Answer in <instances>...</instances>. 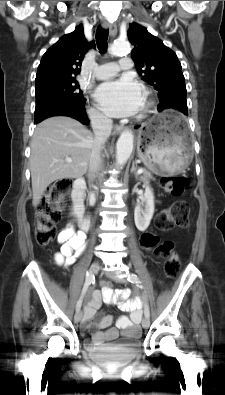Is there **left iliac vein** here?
<instances>
[{"instance_id": "4c4485c4", "label": "left iliac vein", "mask_w": 225, "mask_h": 395, "mask_svg": "<svg viewBox=\"0 0 225 395\" xmlns=\"http://www.w3.org/2000/svg\"><path fill=\"white\" fill-rule=\"evenodd\" d=\"M112 278H113L114 281H116V282H120V283H125V282H126V279H125V278H122V277L113 276ZM149 326H150V320H149V318H148V317L143 318V320H142V327H143L144 329H147Z\"/></svg>"}]
</instances>
